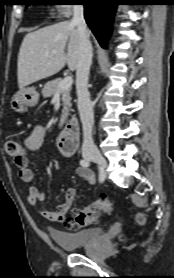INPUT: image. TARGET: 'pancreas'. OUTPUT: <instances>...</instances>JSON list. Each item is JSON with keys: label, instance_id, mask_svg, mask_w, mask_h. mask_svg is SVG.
I'll return each instance as SVG.
<instances>
[{"label": "pancreas", "instance_id": "1", "mask_svg": "<svg viewBox=\"0 0 174 278\" xmlns=\"http://www.w3.org/2000/svg\"><path fill=\"white\" fill-rule=\"evenodd\" d=\"M61 81H62V79L58 78V79H55L53 81L47 82L42 89V94L45 98H48V97H51L58 92L61 93V95H62L61 100L63 102L61 121L64 122L69 115V110H70V107H71V96H70L71 89L69 88V89L59 91L58 86H59Z\"/></svg>", "mask_w": 174, "mask_h": 278}]
</instances>
